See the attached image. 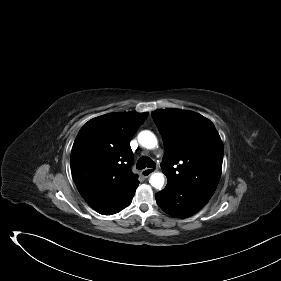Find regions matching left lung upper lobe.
Here are the masks:
<instances>
[{"label": "left lung upper lobe", "instance_id": "5c2ea615", "mask_svg": "<svg viewBox=\"0 0 281 281\" xmlns=\"http://www.w3.org/2000/svg\"><path fill=\"white\" fill-rule=\"evenodd\" d=\"M152 117L164 142L161 168L167 184L192 187L212 196L223 160V144L213 123L180 109L155 111Z\"/></svg>", "mask_w": 281, "mask_h": 281}]
</instances>
